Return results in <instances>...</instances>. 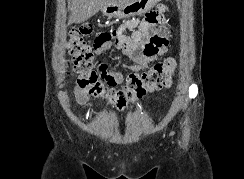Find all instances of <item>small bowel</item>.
<instances>
[{"mask_svg":"<svg viewBox=\"0 0 244 179\" xmlns=\"http://www.w3.org/2000/svg\"><path fill=\"white\" fill-rule=\"evenodd\" d=\"M153 4H160L161 8L147 9L150 17L128 18L119 28L99 33L93 43L95 54L101 56L115 47L133 62L131 65H124L125 69L132 72H139L162 57L168 51L171 34L164 28L166 7L159 2ZM127 30H132L131 35L126 34ZM98 69L109 85L116 86L124 82V74L111 70L107 62L100 60ZM72 97L76 106H88L87 96L80 88L74 89ZM90 107L95 108L94 105Z\"/></svg>","mask_w":244,"mask_h":179,"instance_id":"small-bowel-1","label":"small bowel"}]
</instances>
